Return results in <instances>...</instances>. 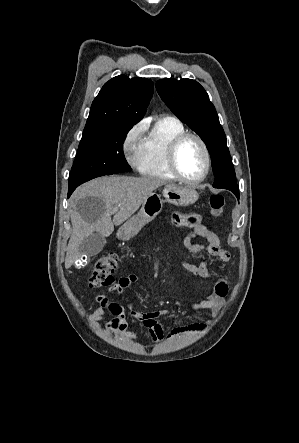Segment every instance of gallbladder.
I'll list each match as a JSON object with an SVG mask.
<instances>
[{
  "label": "gallbladder",
  "mask_w": 299,
  "mask_h": 443,
  "mask_svg": "<svg viewBox=\"0 0 299 443\" xmlns=\"http://www.w3.org/2000/svg\"><path fill=\"white\" fill-rule=\"evenodd\" d=\"M106 244V239L98 233L86 237L79 246L80 253L89 260L92 256L100 253Z\"/></svg>",
  "instance_id": "1"
}]
</instances>
